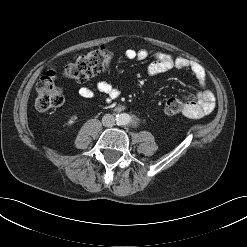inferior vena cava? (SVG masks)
<instances>
[{
  "label": "inferior vena cava",
  "mask_w": 247,
  "mask_h": 247,
  "mask_svg": "<svg viewBox=\"0 0 247 247\" xmlns=\"http://www.w3.org/2000/svg\"><path fill=\"white\" fill-rule=\"evenodd\" d=\"M115 117L111 114H105L102 118V124L105 127H112L115 124Z\"/></svg>",
  "instance_id": "obj_1"
}]
</instances>
